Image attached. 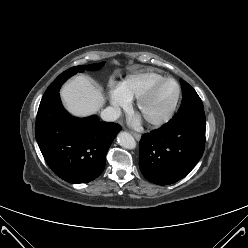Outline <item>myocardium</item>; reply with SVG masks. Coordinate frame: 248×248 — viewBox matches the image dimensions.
Here are the masks:
<instances>
[{"instance_id":"myocardium-1","label":"myocardium","mask_w":248,"mask_h":248,"mask_svg":"<svg viewBox=\"0 0 248 248\" xmlns=\"http://www.w3.org/2000/svg\"><path fill=\"white\" fill-rule=\"evenodd\" d=\"M166 83H172L175 85L176 87V97L171 105V107L169 108V110L162 115L159 118L156 119H149L147 120L149 125L152 126H160L163 125L167 122H169L173 116L176 113V110L178 108V105L180 103V99H181V88L180 85L178 84V82L172 78H164L160 81L155 82L154 84H152L145 92H143L138 98H137V109L139 111H141L144 107V104L146 103V101L153 95V93L156 91L157 88H159L160 86H162L163 84Z\"/></svg>"}]
</instances>
